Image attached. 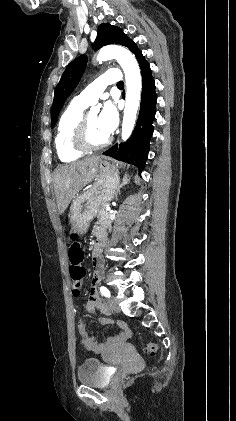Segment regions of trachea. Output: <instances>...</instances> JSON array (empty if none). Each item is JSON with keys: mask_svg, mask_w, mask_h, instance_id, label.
<instances>
[{"mask_svg": "<svg viewBox=\"0 0 236 421\" xmlns=\"http://www.w3.org/2000/svg\"><path fill=\"white\" fill-rule=\"evenodd\" d=\"M117 86H118V87H124V83H123V82H118V83H117Z\"/></svg>", "mask_w": 236, "mask_h": 421, "instance_id": "obj_1", "label": "trachea"}]
</instances>
